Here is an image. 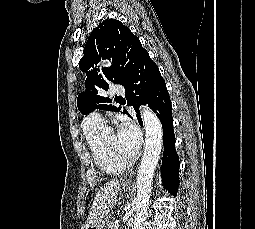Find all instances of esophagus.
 I'll use <instances>...</instances> for the list:
<instances>
[{
    "label": "esophagus",
    "instance_id": "34e87169",
    "mask_svg": "<svg viewBox=\"0 0 255 229\" xmlns=\"http://www.w3.org/2000/svg\"><path fill=\"white\" fill-rule=\"evenodd\" d=\"M124 185L131 186V185H133V182H132V180H127V181H125Z\"/></svg>",
    "mask_w": 255,
    "mask_h": 229
}]
</instances>
